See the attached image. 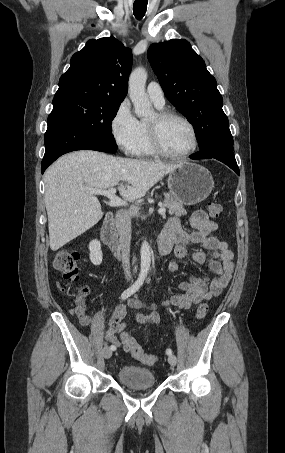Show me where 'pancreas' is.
<instances>
[{"mask_svg": "<svg viewBox=\"0 0 285 453\" xmlns=\"http://www.w3.org/2000/svg\"><path fill=\"white\" fill-rule=\"evenodd\" d=\"M165 200H164V206L169 209V214L170 215H175V216H182L186 215V210L184 209L183 205L179 202H177L170 194L164 193Z\"/></svg>", "mask_w": 285, "mask_h": 453, "instance_id": "pancreas-1", "label": "pancreas"}]
</instances>
